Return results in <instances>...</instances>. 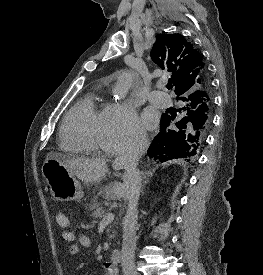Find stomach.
<instances>
[{"mask_svg":"<svg viewBox=\"0 0 263 275\" xmlns=\"http://www.w3.org/2000/svg\"><path fill=\"white\" fill-rule=\"evenodd\" d=\"M42 174L55 200H80L84 196L79 181L60 161L47 158L42 166Z\"/></svg>","mask_w":263,"mask_h":275,"instance_id":"stomach-1","label":"stomach"}]
</instances>
